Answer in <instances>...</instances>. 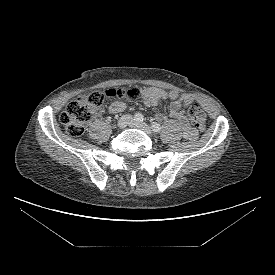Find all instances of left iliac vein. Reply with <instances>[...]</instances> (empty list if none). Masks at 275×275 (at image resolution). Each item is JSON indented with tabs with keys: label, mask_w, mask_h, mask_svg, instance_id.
<instances>
[{
	"label": "left iliac vein",
	"mask_w": 275,
	"mask_h": 275,
	"mask_svg": "<svg viewBox=\"0 0 275 275\" xmlns=\"http://www.w3.org/2000/svg\"><path fill=\"white\" fill-rule=\"evenodd\" d=\"M130 126L133 128L140 129V130L144 131L145 133H147L148 135H152V133H153L151 130V127L143 122L138 123V122L133 121V122H131Z\"/></svg>",
	"instance_id": "left-iliac-vein-1"
}]
</instances>
